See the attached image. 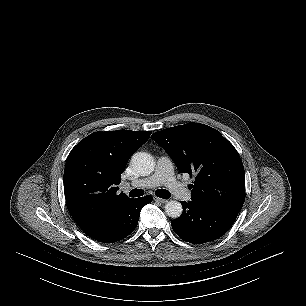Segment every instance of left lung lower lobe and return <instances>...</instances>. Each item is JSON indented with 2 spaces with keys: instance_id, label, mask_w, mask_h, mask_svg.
<instances>
[{
  "instance_id": "left-lung-lower-lobe-1",
  "label": "left lung lower lobe",
  "mask_w": 306,
  "mask_h": 306,
  "mask_svg": "<svg viewBox=\"0 0 306 306\" xmlns=\"http://www.w3.org/2000/svg\"><path fill=\"white\" fill-rule=\"evenodd\" d=\"M183 213L172 221L174 232L184 241L201 244L224 235L234 223L238 211L194 201L181 202Z\"/></svg>"
}]
</instances>
